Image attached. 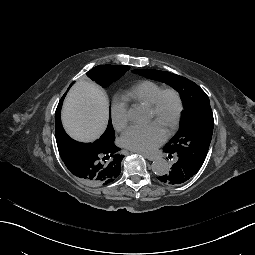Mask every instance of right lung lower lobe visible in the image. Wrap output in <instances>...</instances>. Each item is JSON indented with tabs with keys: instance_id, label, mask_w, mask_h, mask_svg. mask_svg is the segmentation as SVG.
I'll return each instance as SVG.
<instances>
[{
	"instance_id": "obj_1",
	"label": "right lung lower lobe",
	"mask_w": 255,
	"mask_h": 255,
	"mask_svg": "<svg viewBox=\"0 0 255 255\" xmlns=\"http://www.w3.org/2000/svg\"><path fill=\"white\" fill-rule=\"evenodd\" d=\"M100 174V156L82 152L79 156V179L87 181L92 177L96 179Z\"/></svg>"
}]
</instances>
